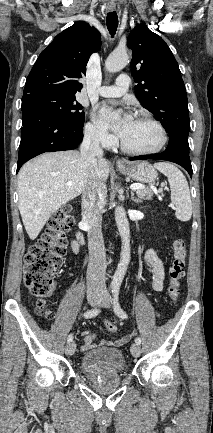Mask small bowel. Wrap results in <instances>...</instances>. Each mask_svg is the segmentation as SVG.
I'll list each match as a JSON object with an SVG mask.
<instances>
[{
  "label": "small bowel",
  "mask_w": 213,
  "mask_h": 433,
  "mask_svg": "<svg viewBox=\"0 0 213 433\" xmlns=\"http://www.w3.org/2000/svg\"><path fill=\"white\" fill-rule=\"evenodd\" d=\"M71 247L75 253L78 252L79 245L76 241L72 242ZM144 258L151 274L152 289L156 292L162 291L164 288V278H165V272H164V266L162 260L159 258V256L153 249H148L145 253ZM82 336H83V343L81 345V351L83 352L88 351L93 347V342L96 337L90 331H84L82 333ZM130 337L131 335H127L117 339L113 343L106 342L105 344L107 345L114 344L116 346H120L125 344L130 339Z\"/></svg>",
  "instance_id": "small-bowel-1"
}]
</instances>
